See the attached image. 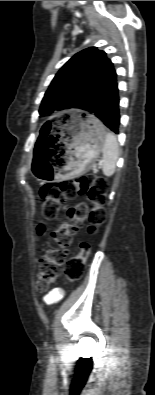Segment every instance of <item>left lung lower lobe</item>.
<instances>
[{
	"label": "left lung lower lobe",
	"instance_id": "0a47b994",
	"mask_svg": "<svg viewBox=\"0 0 155 395\" xmlns=\"http://www.w3.org/2000/svg\"><path fill=\"white\" fill-rule=\"evenodd\" d=\"M115 69L81 102L79 109L88 111L105 126L118 133L120 124L119 94Z\"/></svg>",
	"mask_w": 155,
	"mask_h": 395
}]
</instances>
